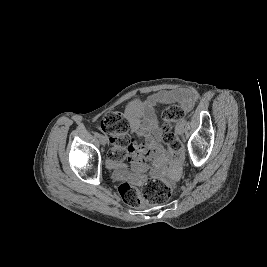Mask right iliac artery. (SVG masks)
<instances>
[{
	"mask_svg": "<svg viewBox=\"0 0 267 267\" xmlns=\"http://www.w3.org/2000/svg\"><path fill=\"white\" fill-rule=\"evenodd\" d=\"M96 137H100V134L98 132L94 133Z\"/></svg>",
	"mask_w": 267,
	"mask_h": 267,
	"instance_id": "right-iliac-artery-1",
	"label": "right iliac artery"
}]
</instances>
